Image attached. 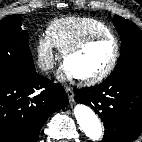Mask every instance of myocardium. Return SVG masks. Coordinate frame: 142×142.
<instances>
[{
  "mask_svg": "<svg viewBox=\"0 0 142 142\" xmlns=\"http://www.w3.org/2000/svg\"><path fill=\"white\" fill-rule=\"evenodd\" d=\"M105 39L111 40L115 46V51H114V55L111 62L108 64V66L104 70L89 77H75L71 75L80 84L82 85L97 84L103 81L104 79H106L113 72V70L115 69L118 63L120 52H121L120 43L118 39L113 34H93L81 39L80 41L71 45L70 47H68L66 50L62 52L61 64H62V67L65 69V62L68 57L82 51L83 49H85L87 46H89L91 43L95 41L105 40Z\"/></svg>",
  "mask_w": 142,
  "mask_h": 142,
  "instance_id": "1",
  "label": "myocardium"
}]
</instances>
